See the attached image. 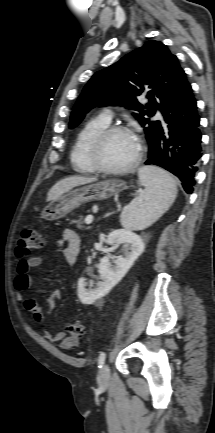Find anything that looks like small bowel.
<instances>
[{
	"label": "small bowel",
	"instance_id": "1",
	"mask_svg": "<svg viewBox=\"0 0 215 433\" xmlns=\"http://www.w3.org/2000/svg\"><path fill=\"white\" fill-rule=\"evenodd\" d=\"M81 250V239L79 235L70 229H65L62 232L61 238L57 242L55 251L62 256L68 266H73L78 258ZM42 264V259L39 256H30L21 258L17 265V275L14 280V288L17 292L19 300H21L25 311L29 312L33 319L42 324V309L37 304L35 299L25 297L24 292L32 286V278L29 271L33 268L39 267ZM53 297H60L59 292H54ZM42 335L50 342H59V345L64 350L75 348L79 344L77 338L65 337L63 331L49 332L42 331Z\"/></svg>",
	"mask_w": 215,
	"mask_h": 433
}]
</instances>
